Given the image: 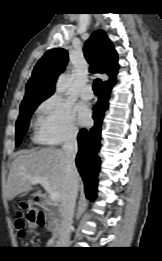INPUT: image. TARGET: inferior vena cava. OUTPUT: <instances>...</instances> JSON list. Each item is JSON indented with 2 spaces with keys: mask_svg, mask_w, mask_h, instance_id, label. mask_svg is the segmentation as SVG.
Returning a JSON list of instances; mask_svg holds the SVG:
<instances>
[{
  "mask_svg": "<svg viewBox=\"0 0 162 261\" xmlns=\"http://www.w3.org/2000/svg\"><path fill=\"white\" fill-rule=\"evenodd\" d=\"M62 148L65 155L66 186L59 209L61 219V233L58 245L60 247H66L69 242L70 227L73 222V214L79 185V174L75 166V157L78 152L76 134L69 136L64 142Z\"/></svg>",
  "mask_w": 162,
  "mask_h": 261,
  "instance_id": "inferior-vena-cava-1",
  "label": "inferior vena cava"
}]
</instances>
